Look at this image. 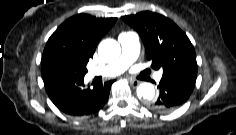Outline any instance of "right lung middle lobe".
<instances>
[{"label": "right lung middle lobe", "instance_id": "dd1d6c3e", "mask_svg": "<svg viewBox=\"0 0 236 135\" xmlns=\"http://www.w3.org/2000/svg\"><path fill=\"white\" fill-rule=\"evenodd\" d=\"M87 62L86 60L75 58L63 52H52L44 59L42 58V71L53 69L77 75H85L87 73Z\"/></svg>", "mask_w": 236, "mask_h": 135}]
</instances>
